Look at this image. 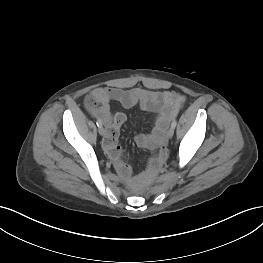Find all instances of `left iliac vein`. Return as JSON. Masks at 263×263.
<instances>
[{"instance_id":"4c4485c4","label":"left iliac vein","mask_w":263,"mask_h":263,"mask_svg":"<svg viewBox=\"0 0 263 263\" xmlns=\"http://www.w3.org/2000/svg\"><path fill=\"white\" fill-rule=\"evenodd\" d=\"M174 134V128L173 127H170L167 131V137L168 138H171Z\"/></svg>"}]
</instances>
